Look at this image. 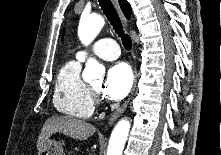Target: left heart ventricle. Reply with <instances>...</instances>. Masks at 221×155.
<instances>
[{
  "label": "left heart ventricle",
  "instance_id": "obj_1",
  "mask_svg": "<svg viewBox=\"0 0 221 155\" xmlns=\"http://www.w3.org/2000/svg\"><path fill=\"white\" fill-rule=\"evenodd\" d=\"M92 87L95 88L96 90H99L101 87V83L100 82L93 83Z\"/></svg>",
  "mask_w": 221,
  "mask_h": 155
}]
</instances>
